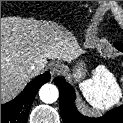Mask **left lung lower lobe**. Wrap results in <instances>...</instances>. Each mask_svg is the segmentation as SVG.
I'll return each instance as SVG.
<instances>
[{
  "label": "left lung lower lobe",
  "mask_w": 123,
  "mask_h": 123,
  "mask_svg": "<svg viewBox=\"0 0 123 123\" xmlns=\"http://www.w3.org/2000/svg\"><path fill=\"white\" fill-rule=\"evenodd\" d=\"M115 47L123 52V43H115ZM54 83L60 90L59 105L64 123H123V105L99 118L86 117L74 105V89L62 78H55Z\"/></svg>",
  "instance_id": "left-lung-lower-lobe-1"
}]
</instances>
